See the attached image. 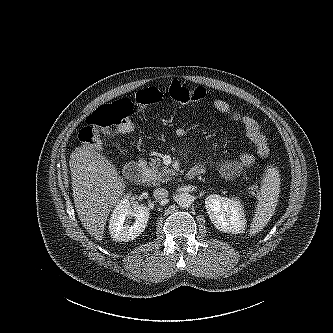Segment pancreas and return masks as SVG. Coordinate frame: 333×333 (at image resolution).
<instances>
[{"label": "pancreas", "mask_w": 333, "mask_h": 333, "mask_svg": "<svg viewBox=\"0 0 333 333\" xmlns=\"http://www.w3.org/2000/svg\"><path fill=\"white\" fill-rule=\"evenodd\" d=\"M147 168V177L152 185H159L160 183L168 182L174 174L173 170L167 166H162L159 158H152Z\"/></svg>", "instance_id": "cf45deb5"}]
</instances>
